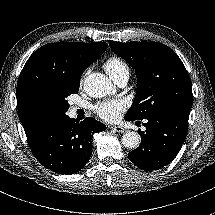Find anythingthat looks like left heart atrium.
I'll return each mask as SVG.
<instances>
[{
    "mask_svg": "<svg viewBox=\"0 0 215 215\" xmlns=\"http://www.w3.org/2000/svg\"><path fill=\"white\" fill-rule=\"evenodd\" d=\"M127 104L123 99H114L97 103L94 112L103 120L114 122L126 110Z\"/></svg>",
    "mask_w": 215,
    "mask_h": 215,
    "instance_id": "obj_1",
    "label": "left heart atrium"
}]
</instances>
